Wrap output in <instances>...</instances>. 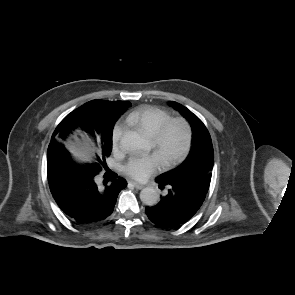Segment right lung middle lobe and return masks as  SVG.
Listing matches in <instances>:
<instances>
[{
	"instance_id": "dd1d6c3e",
	"label": "right lung middle lobe",
	"mask_w": 295,
	"mask_h": 295,
	"mask_svg": "<svg viewBox=\"0 0 295 295\" xmlns=\"http://www.w3.org/2000/svg\"><path fill=\"white\" fill-rule=\"evenodd\" d=\"M131 105L130 102L127 103L126 107L124 108L122 114L126 111V109ZM72 116L73 122V129L79 127L81 129H88L90 127V118L86 115L85 110H80L79 108L74 110ZM118 117L107 118L102 121L98 128H95V131L92 136L100 135L102 141V158L97 157L96 161L91 164H86L84 166H92V167H105L106 161L105 157L109 156L112 151V133L114 124L117 121ZM66 153L68 154L67 150ZM69 155V154H68Z\"/></svg>"
}]
</instances>
